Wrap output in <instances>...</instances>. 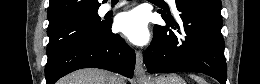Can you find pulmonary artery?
I'll use <instances>...</instances> for the list:
<instances>
[{
  "instance_id": "pulmonary-artery-1",
  "label": "pulmonary artery",
  "mask_w": 260,
  "mask_h": 84,
  "mask_svg": "<svg viewBox=\"0 0 260 84\" xmlns=\"http://www.w3.org/2000/svg\"><path fill=\"white\" fill-rule=\"evenodd\" d=\"M168 2L170 3V5H172L173 7L175 6V0H168ZM124 5V2H120V3H117V4H115V5H112V4H110V3H106V4H104V5H102L101 6V13H107V12H109V11H111V10H114V9H117V8H119V7H121V6H123Z\"/></svg>"
}]
</instances>
